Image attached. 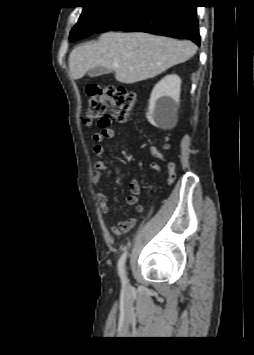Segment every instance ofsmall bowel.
<instances>
[{
    "label": "small bowel",
    "instance_id": "1",
    "mask_svg": "<svg viewBox=\"0 0 254 355\" xmlns=\"http://www.w3.org/2000/svg\"><path fill=\"white\" fill-rule=\"evenodd\" d=\"M111 121L107 118L104 119L103 124L101 125V131L96 132L92 135V139L94 141L93 152L96 157L95 161V170L92 172L91 181L94 184L100 183L102 179V174L105 173L107 175L112 174V170L107 166L104 160V147L102 143L106 139H112L114 137V130L110 127ZM154 156L158 158H163V155L157 151H155ZM151 167L157 171H161V166L157 162H152ZM173 170L175 172V165L172 162H168V171ZM129 190L130 194L126 197V203L128 205H135L138 202V195L140 193V183L138 180L133 179L129 183ZM97 200L100 205V208L103 213L110 214L111 209L108 204V196L105 192L101 191L97 194ZM137 214L143 213L142 207H137L136 209ZM137 223L136 217H131L126 221H118L115 225L111 227V231L115 235H121L124 233L129 232Z\"/></svg>",
    "mask_w": 254,
    "mask_h": 355
}]
</instances>
